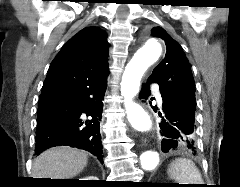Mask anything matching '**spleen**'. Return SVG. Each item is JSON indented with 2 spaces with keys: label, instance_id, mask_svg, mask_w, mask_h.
I'll return each instance as SVG.
<instances>
[{
  "label": "spleen",
  "instance_id": "1",
  "mask_svg": "<svg viewBox=\"0 0 240 187\" xmlns=\"http://www.w3.org/2000/svg\"><path fill=\"white\" fill-rule=\"evenodd\" d=\"M171 178L181 184H203V180L195 164L185 158L176 159L170 166Z\"/></svg>",
  "mask_w": 240,
  "mask_h": 187
}]
</instances>
